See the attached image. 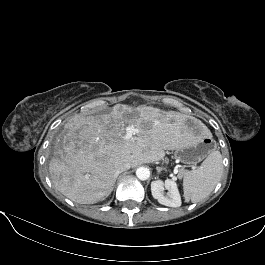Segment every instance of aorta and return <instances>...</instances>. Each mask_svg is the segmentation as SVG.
<instances>
[{
    "label": "aorta",
    "mask_w": 265,
    "mask_h": 265,
    "mask_svg": "<svg viewBox=\"0 0 265 265\" xmlns=\"http://www.w3.org/2000/svg\"><path fill=\"white\" fill-rule=\"evenodd\" d=\"M136 176L138 177V179L145 181L150 177V171L146 167H139L136 170Z\"/></svg>",
    "instance_id": "1"
}]
</instances>
